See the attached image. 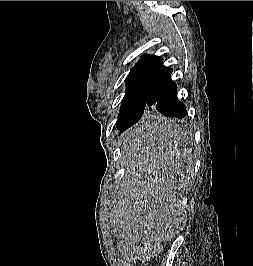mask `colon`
I'll use <instances>...</instances> for the list:
<instances>
[{
    "label": "colon",
    "instance_id": "colon-1",
    "mask_svg": "<svg viewBox=\"0 0 253 266\" xmlns=\"http://www.w3.org/2000/svg\"><path fill=\"white\" fill-rule=\"evenodd\" d=\"M119 250L128 257H137L142 261L150 260L159 252V248H144L143 242H138L136 248H128L126 242H122L119 246Z\"/></svg>",
    "mask_w": 253,
    "mask_h": 266
}]
</instances>
